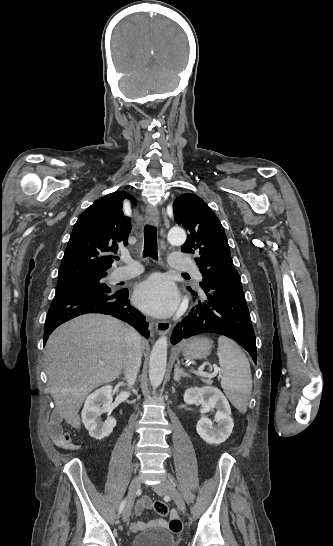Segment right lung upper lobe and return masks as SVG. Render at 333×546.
<instances>
[{
	"instance_id": "1",
	"label": "right lung upper lobe",
	"mask_w": 333,
	"mask_h": 546,
	"mask_svg": "<svg viewBox=\"0 0 333 546\" xmlns=\"http://www.w3.org/2000/svg\"><path fill=\"white\" fill-rule=\"evenodd\" d=\"M133 198L116 191L96 200L78 218L68 241L58 280L107 274L111 252L128 243L130 218L124 216L122 202Z\"/></svg>"
}]
</instances>
